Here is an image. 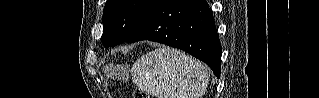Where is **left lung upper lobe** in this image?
I'll list each match as a JSON object with an SVG mask.
<instances>
[{
  "instance_id": "5c2ea615",
  "label": "left lung upper lobe",
  "mask_w": 319,
  "mask_h": 98,
  "mask_svg": "<svg viewBox=\"0 0 319 98\" xmlns=\"http://www.w3.org/2000/svg\"><path fill=\"white\" fill-rule=\"evenodd\" d=\"M158 0H107L103 11L104 46L126 42L143 24Z\"/></svg>"
}]
</instances>
